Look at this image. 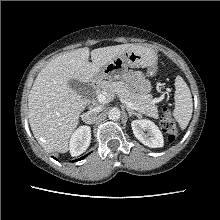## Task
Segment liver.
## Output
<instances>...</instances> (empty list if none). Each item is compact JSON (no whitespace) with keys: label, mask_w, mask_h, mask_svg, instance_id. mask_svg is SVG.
I'll return each instance as SVG.
<instances>
[{"label":"liver","mask_w":220,"mask_h":220,"mask_svg":"<svg viewBox=\"0 0 220 220\" xmlns=\"http://www.w3.org/2000/svg\"><path fill=\"white\" fill-rule=\"evenodd\" d=\"M134 44L79 48L50 61L37 75L28 98L31 130L48 152L65 153L79 124L80 114L90 103L69 85L70 80L91 82L101 67Z\"/></svg>","instance_id":"obj_1"}]
</instances>
